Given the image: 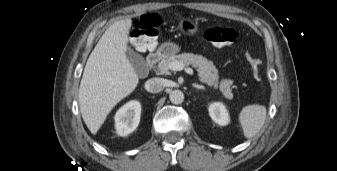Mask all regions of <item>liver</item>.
Here are the masks:
<instances>
[{
	"instance_id": "1",
	"label": "liver",
	"mask_w": 337,
	"mask_h": 171,
	"mask_svg": "<svg viewBox=\"0 0 337 171\" xmlns=\"http://www.w3.org/2000/svg\"><path fill=\"white\" fill-rule=\"evenodd\" d=\"M131 25L130 18L112 24L86 62L78 98L82 118L92 134L98 132L114 106L139 83L126 55Z\"/></svg>"
}]
</instances>
